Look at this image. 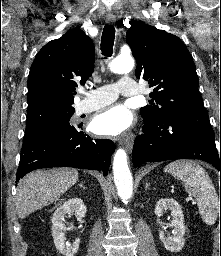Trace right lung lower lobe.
Here are the masks:
<instances>
[{
	"label": "right lung lower lobe",
	"instance_id": "obj_1",
	"mask_svg": "<svg viewBox=\"0 0 221 256\" xmlns=\"http://www.w3.org/2000/svg\"><path fill=\"white\" fill-rule=\"evenodd\" d=\"M114 150L111 140L91 139L69 121L50 123L24 135L17 181L49 167L102 170L107 175Z\"/></svg>",
	"mask_w": 221,
	"mask_h": 256
}]
</instances>
